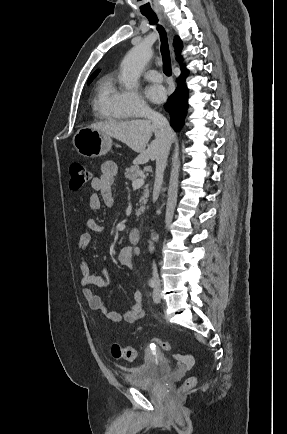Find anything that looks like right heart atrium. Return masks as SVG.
Segmentation results:
<instances>
[{
    "label": "right heart atrium",
    "instance_id": "1",
    "mask_svg": "<svg viewBox=\"0 0 287 434\" xmlns=\"http://www.w3.org/2000/svg\"><path fill=\"white\" fill-rule=\"evenodd\" d=\"M115 102L126 116H139L150 112V107L136 89H120Z\"/></svg>",
    "mask_w": 287,
    "mask_h": 434
}]
</instances>
